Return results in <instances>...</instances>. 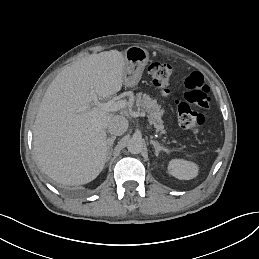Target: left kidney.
Returning a JSON list of instances; mask_svg holds the SVG:
<instances>
[{
  "label": "left kidney",
  "instance_id": "left-kidney-1",
  "mask_svg": "<svg viewBox=\"0 0 259 259\" xmlns=\"http://www.w3.org/2000/svg\"><path fill=\"white\" fill-rule=\"evenodd\" d=\"M197 166L181 160H173L169 164V173L181 180H189L197 175Z\"/></svg>",
  "mask_w": 259,
  "mask_h": 259
}]
</instances>
